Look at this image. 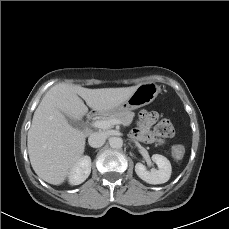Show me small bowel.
<instances>
[{
  "instance_id": "1",
  "label": "small bowel",
  "mask_w": 229,
  "mask_h": 229,
  "mask_svg": "<svg viewBox=\"0 0 229 229\" xmlns=\"http://www.w3.org/2000/svg\"><path fill=\"white\" fill-rule=\"evenodd\" d=\"M158 119H159L158 113L146 111V110L142 111L140 114V125L134 131L135 137L140 141L149 140L151 137L149 133V129L153 124L157 122ZM178 147L183 148L182 145H175L173 150Z\"/></svg>"
}]
</instances>
